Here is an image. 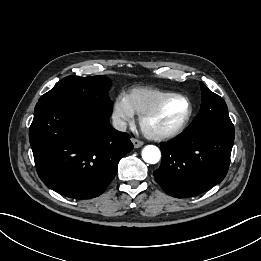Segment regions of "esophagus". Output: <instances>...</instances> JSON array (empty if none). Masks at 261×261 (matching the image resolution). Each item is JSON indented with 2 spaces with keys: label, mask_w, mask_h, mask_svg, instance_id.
I'll return each mask as SVG.
<instances>
[{
  "label": "esophagus",
  "mask_w": 261,
  "mask_h": 261,
  "mask_svg": "<svg viewBox=\"0 0 261 261\" xmlns=\"http://www.w3.org/2000/svg\"><path fill=\"white\" fill-rule=\"evenodd\" d=\"M131 141H132L135 148H139L143 145V142L141 140L137 139V138L132 137Z\"/></svg>",
  "instance_id": "obj_1"
}]
</instances>
